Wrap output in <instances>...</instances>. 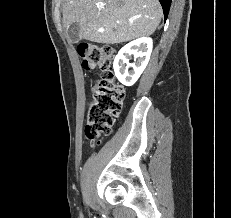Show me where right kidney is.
<instances>
[{
    "label": "right kidney",
    "instance_id": "obj_1",
    "mask_svg": "<svg viewBox=\"0 0 231 218\" xmlns=\"http://www.w3.org/2000/svg\"><path fill=\"white\" fill-rule=\"evenodd\" d=\"M153 41L143 37L134 40L120 49L113 67L117 79L125 86H132L146 68L152 52ZM134 57L135 63H129ZM132 68L129 71V68Z\"/></svg>",
    "mask_w": 231,
    "mask_h": 218
}]
</instances>
